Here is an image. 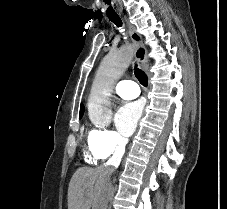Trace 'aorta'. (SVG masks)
Wrapping results in <instances>:
<instances>
[{"label":"aorta","mask_w":227,"mask_h":209,"mask_svg":"<svg viewBox=\"0 0 227 209\" xmlns=\"http://www.w3.org/2000/svg\"><path fill=\"white\" fill-rule=\"evenodd\" d=\"M132 59V48L122 47L110 52L101 62L93 81L91 96L88 102V113L93 121L100 116L108 115V98L115 81L128 68Z\"/></svg>","instance_id":"762f6f07"}]
</instances>
